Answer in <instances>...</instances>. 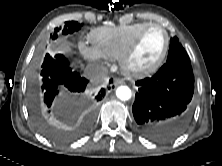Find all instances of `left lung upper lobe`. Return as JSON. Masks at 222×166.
<instances>
[{"label":"left lung upper lobe","mask_w":222,"mask_h":166,"mask_svg":"<svg viewBox=\"0 0 222 166\" xmlns=\"http://www.w3.org/2000/svg\"><path fill=\"white\" fill-rule=\"evenodd\" d=\"M173 60L190 61V58H189L187 52L182 47V45L179 42V39L177 37H173L171 39L170 48H169L168 57H167V61H173Z\"/></svg>","instance_id":"1"}]
</instances>
